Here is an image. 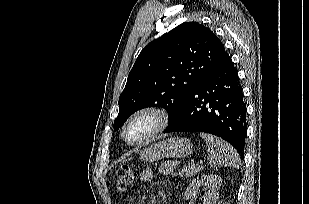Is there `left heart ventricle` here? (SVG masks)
Masks as SVG:
<instances>
[{
    "label": "left heart ventricle",
    "mask_w": 309,
    "mask_h": 204,
    "mask_svg": "<svg viewBox=\"0 0 309 204\" xmlns=\"http://www.w3.org/2000/svg\"><path fill=\"white\" fill-rule=\"evenodd\" d=\"M155 119L143 116L133 120L127 127V137L130 141H138L148 135L155 127Z\"/></svg>",
    "instance_id": "left-heart-ventricle-1"
}]
</instances>
